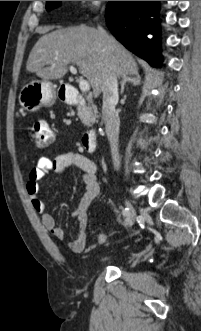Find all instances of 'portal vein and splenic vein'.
<instances>
[{"mask_svg":"<svg viewBox=\"0 0 201 331\" xmlns=\"http://www.w3.org/2000/svg\"><path fill=\"white\" fill-rule=\"evenodd\" d=\"M69 69L72 74H77V70L74 66H70ZM79 88L83 92H88L90 90V84L87 80L81 79L79 81Z\"/></svg>","mask_w":201,"mask_h":331,"instance_id":"1","label":"portal vein and splenic vein"}]
</instances>
